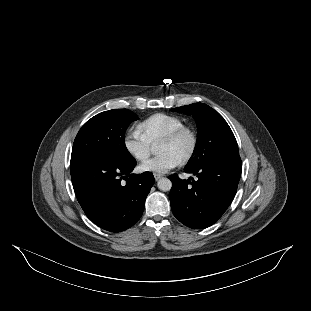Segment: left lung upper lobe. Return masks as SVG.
<instances>
[{
    "label": "left lung upper lobe",
    "instance_id": "1",
    "mask_svg": "<svg viewBox=\"0 0 311 311\" xmlns=\"http://www.w3.org/2000/svg\"><path fill=\"white\" fill-rule=\"evenodd\" d=\"M172 111L193 115L197 122V143L186 168L199 167L227 156H239L231 128L214 109L203 103H194Z\"/></svg>",
    "mask_w": 311,
    "mask_h": 311
}]
</instances>
